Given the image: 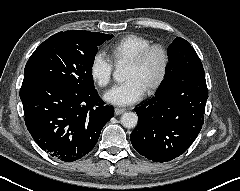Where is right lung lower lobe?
I'll return each instance as SVG.
<instances>
[{
    "label": "right lung lower lobe",
    "instance_id": "obj_1",
    "mask_svg": "<svg viewBox=\"0 0 240 191\" xmlns=\"http://www.w3.org/2000/svg\"><path fill=\"white\" fill-rule=\"evenodd\" d=\"M25 124L39 147L65 162L78 160L96 145L113 108L95 89L77 92L53 82H23L20 89Z\"/></svg>",
    "mask_w": 240,
    "mask_h": 191
}]
</instances>
